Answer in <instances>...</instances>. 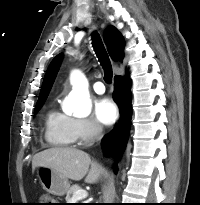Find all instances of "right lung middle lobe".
<instances>
[{
  "instance_id": "right-lung-middle-lobe-1",
  "label": "right lung middle lobe",
  "mask_w": 200,
  "mask_h": 205,
  "mask_svg": "<svg viewBox=\"0 0 200 205\" xmlns=\"http://www.w3.org/2000/svg\"><path fill=\"white\" fill-rule=\"evenodd\" d=\"M46 100V98L44 99H41V100H38L37 104H36V107H35V111L37 112L41 106L43 105L44 101Z\"/></svg>"
}]
</instances>
